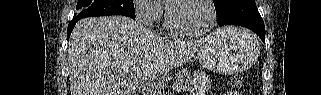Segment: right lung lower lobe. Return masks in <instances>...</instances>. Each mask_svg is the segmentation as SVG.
Segmentation results:
<instances>
[{
	"mask_svg": "<svg viewBox=\"0 0 321 95\" xmlns=\"http://www.w3.org/2000/svg\"><path fill=\"white\" fill-rule=\"evenodd\" d=\"M78 20H80V19H73L70 23H69V25H68V30H67V38L69 39V37H70V34H71V32H72V29L74 28V26H75V24H76V22L78 21Z\"/></svg>",
	"mask_w": 321,
	"mask_h": 95,
	"instance_id": "obj_1",
	"label": "right lung lower lobe"
}]
</instances>
